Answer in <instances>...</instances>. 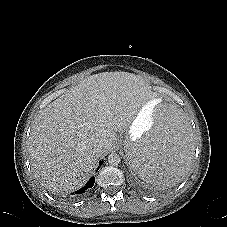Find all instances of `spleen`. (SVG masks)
<instances>
[{
  "instance_id": "spleen-1",
  "label": "spleen",
  "mask_w": 227,
  "mask_h": 227,
  "mask_svg": "<svg viewBox=\"0 0 227 227\" xmlns=\"http://www.w3.org/2000/svg\"><path fill=\"white\" fill-rule=\"evenodd\" d=\"M156 122L143 138L129 143L125 156L134 174L163 187L181 182L194 156V134L179 106L168 96L154 102Z\"/></svg>"
}]
</instances>
